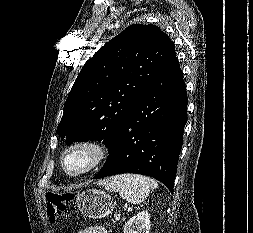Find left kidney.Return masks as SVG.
I'll return each instance as SVG.
<instances>
[{
	"label": "left kidney",
	"mask_w": 253,
	"mask_h": 233,
	"mask_svg": "<svg viewBox=\"0 0 253 233\" xmlns=\"http://www.w3.org/2000/svg\"><path fill=\"white\" fill-rule=\"evenodd\" d=\"M151 227L150 214L141 211L136 216L130 218L124 225V233H149Z\"/></svg>",
	"instance_id": "5707ae66"
}]
</instances>
